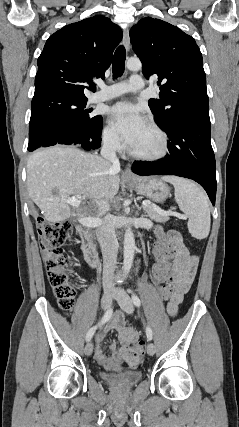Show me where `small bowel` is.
<instances>
[{
  "mask_svg": "<svg viewBox=\"0 0 239 427\" xmlns=\"http://www.w3.org/2000/svg\"><path fill=\"white\" fill-rule=\"evenodd\" d=\"M170 246L168 252L171 253L173 261L171 281L168 282V297L163 298L168 301L167 311L170 316H174L183 301L184 295L189 290L198 268V257L190 253L185 246L181 234L176 230H170ZM111 330L118 333L122 347L115 343L111 345V354L107 355L103 349L105 334ZM138 339V333L132 326H127L124 321L122 311H116L108 322L103 333H98L95 337L96 350L95 359L106 370L118 371L121 369V351L133 345Z\"/></svg>",
  "mask_w": 239,
  "mask_h": 427,
  "instance_id": "1",
  "label": "small bowel"
}]
</instances>
